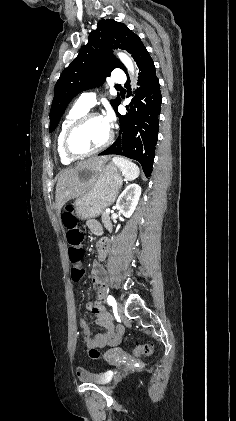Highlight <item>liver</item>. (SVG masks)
Wrapping results in <instances>:
<instances>
[{"mask_svg": "<svg viewBox=\"0 0 236 421\" xmlns=\"http://www.w3.org/2000/svg\"><path fill=\"white\" fill-rule=\"evenodd\" d=\"M110 154L107 156H93V158H88V160H83V162H78L77 166L74 168H65L63 172H60L56 184V208L58 213H60L61 208L67 200L74 198V196H79L80 190H82V182L79 178V170L84 168V166H102L107 160H109Z\"/></svg>", "mask_w": 236, "mask_h": 421, "instance_id": "1", "label": "liver"}]
</instances>
